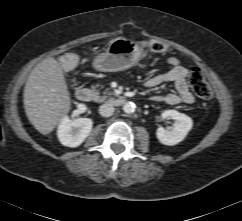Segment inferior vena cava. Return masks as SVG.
<instances>
[{
  "mask_svg": "<svg viewBox=\"0 0 242 221\" xmlns=\"http://www.w3.org/2000/svg\"><path fill=\"white\" fill-rule=\"evenodd\" d=\"M115 111V108L113 107L112 104H103L99 107V113L103 117H109L112 116Z\"/></svg>",
  "mask_w": 242,
  "mask_h": 221,
  "instance_id": "602c4592",
  "label": "inferior vena cava"
}]
</instances>
